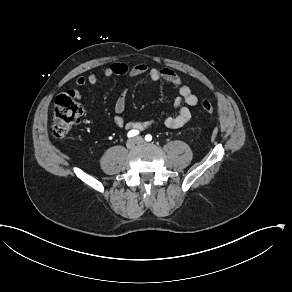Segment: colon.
Here are the masks:
<instances>
[{"label":"colon","instance_id":"colon-1","mask_svg":"<svg viewBox=\"0 0 292 292\" xmlns=\"http://www.w3.org/2000/svg\"><path fill=\"white\" fill-rule=\"evenodd\" d=\"M201 109L205 114L213 112V104L210 99L201 103ZM84 116L83 105L75 98L72 90L65 91L57 96L54 104L52 134L61 139L69 129L78 124Z\"/></svg>","mask_w":292,"mask_h":292}]
</instances>
